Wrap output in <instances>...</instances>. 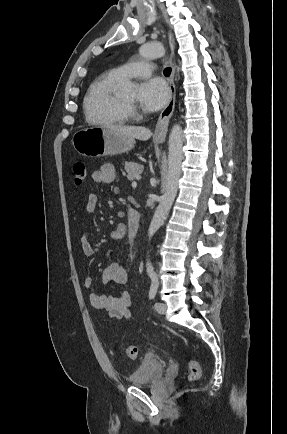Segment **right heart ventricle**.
<instances>
[{
    "label": "right heart ventricle",
    "instance_id": "obj_1",
    "mask_svg": "<svg viewBox=\"0 0 287 434\" xmlns=\"http://www.w3.org/2000/svg\"><path fill=\"white\" fill-rule=\"evenodd\" d=\"M124 80L117 69H112L91 83L83 101L89 123L123 124L129 120V111L118 93V87Z\"/></svg>",
    "mask_w": 287,
    "mask_h": 434
}]
</instances>
